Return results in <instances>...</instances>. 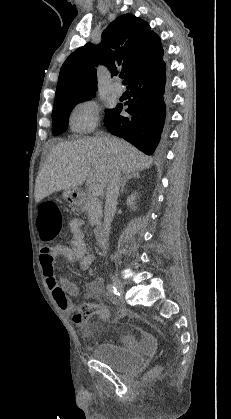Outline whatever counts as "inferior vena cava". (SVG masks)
<instances>
[{
	"mask_svg": "<svg viewBox=\"0 0 231 419\" xmlns=\"http://www.w3.org/2000/svg\"><path fill=\"white\" fill-rule=\"evenodd\" d=\"M121 170L117 165H113L106 186L104 224L99 236V243L103 249H107L111 223L117 206V198L120 188Z\"/></svg>",
	"mask_w": 231,
	"mask_h": 419,
	"instance_id": "obj_1",
	"label": "inferior vena cava"
}]
</instances>
